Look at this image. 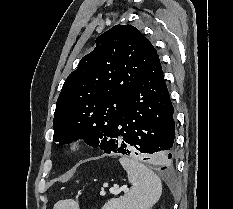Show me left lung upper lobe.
<instances>
[{
    "label": "left lung upper lobe",
    "instance_id": "obj_1",
    "mask_svg": "<svg viewBox=\"0 0 233 209\" xmlns=\"http://www.w3.org/2000/svg\"><path fill=\"white\" fill-rule=\"evenodd\" d=\"M95 43V49L67 77L58 97L53 140L60 144L84 139L102 148L136 82L157 55L151 42L132 25H116Z\"/></svg>",
    "mask_w": 233,
    "mask_h": 209
}]
</instances>
